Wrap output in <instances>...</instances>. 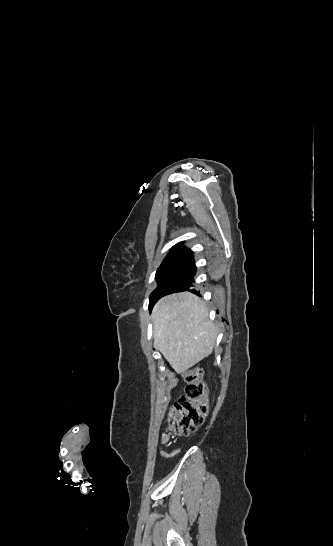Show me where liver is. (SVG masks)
<instances>
[{"label": "liver", "instance_id": "6515ba94", "mask_svg": "<svg viewBox=\"0 0 333 546\" xmlns=\"http://www.w3.org/2000/svg\"><path fill=\"white\" fill-rule=\"evenodd\" d=\"M154 345L177 373H183L213 351L218 334L206 304L183 292L160 299L152 312Z\"/></svg>", "mask_w": 333, "mask_h": 546}]
</instances>
